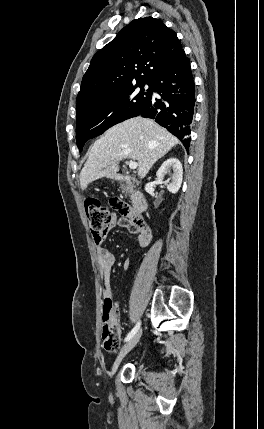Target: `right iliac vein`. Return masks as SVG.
<instances>
[{"label": "right iliac vein", "mask_w": 264, "mask_h": 429, "mask_svg": "<svg viewBox=\"0 0 264 429\" xmlns=\"http://www.w3.org/2000/svg\"><path fill=\"white\" fill-rule=\"evenodd\" d=\"M142 335V330H139L121 349L111 370V377L116 373L122 359L135 347Z\"/></svg>", "instance_id": "1"}]
</instances>
